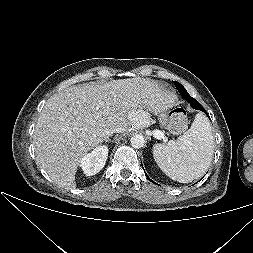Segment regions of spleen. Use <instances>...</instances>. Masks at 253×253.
<instances>
[{"instance_id":"obj_1","label":"spleen","mask_w":253,"mask_h":253,"mask_svg":"<svg viewBox=\"0 0 253 253\" xmlns=\"http://www.w3.org/2000/svg\"><path fill=\"white\" fill-rule=\"evenodd\" d=\"M213 152L211 125L202 113L196 115L190 129L176 141L153 146V157L158 167L180 183L201 177L211 164Z\"/></svg>"}]
</instances>
